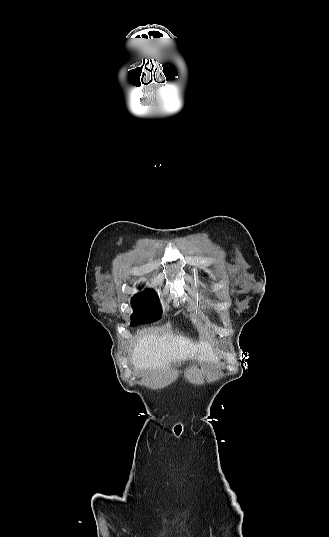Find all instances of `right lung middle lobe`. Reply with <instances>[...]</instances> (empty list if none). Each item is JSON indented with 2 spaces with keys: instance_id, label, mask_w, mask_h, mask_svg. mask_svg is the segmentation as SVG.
Listing matches in <instances>:
<instances>
[{
  "instance_id": "obj_1",
  "label": "right lung middle lobe",
  "mask_w": 329,
  "mask_h": 537,
  "mask_svg": "<svg viewBox=\"0 0 329 537\" xmlns=\"http://www.w3.org/2000/svg\"><path fill=\"white\" fill-rule=\"evenodd\" d=\"M134 313L131 315V325L148 323L159 319L162 315L158 296L152 289L135 294L131 299Z\"/></svg>"
}]
</instances>
